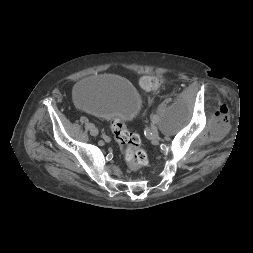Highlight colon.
<instances>
[{"instance_id":"colon-1","label":"colon","mask_w":253,"mask_h":253,"mask_svg":"<svg viewBox=\"0 0 253 253\" xmlns=\"http://www.w3.org/2000/svg\"><path fill=\"white\" fill-rule=\"evenodd\" d=\"M161 83L159 78L145 76L140 80V85L145 90L157 88ZM111 130L115 140L121 145L124 157L133 170H139L148 162L146 152L141 148V139L137 133L131 132L124 121L114 120Z\"/></svg>"}]
</instances>
